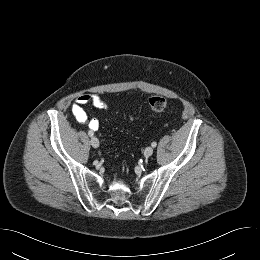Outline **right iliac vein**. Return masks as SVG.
I'll use <instances>...</instances> for the list:
<instances>
[{
  "instance_id": "63e3f726",
  "label": "right iliac vein",
  "mask_w": 260,
  "mask_h": 260,
  "mask_svg": "<svg viewBox=\"0 0 260 260\" xmlns=\"http://www.w3.org/2000/svg\"><path fill=\"white\" fill-rule=\"evenodd\" d=\"M90 142H91V145L94 148H98L99 147V140L96 137H92Z\"/></svg>"
}]
</instances>
